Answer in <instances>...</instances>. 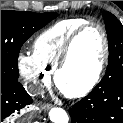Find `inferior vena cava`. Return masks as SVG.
I'll return each instance as SVG.
<instances>
[{
	"mask_svg": "<svg viewBox=\"0 0 123 123\" xmlns=\"http://www.w3.org/2000/svg\"><path fill=\"white\" fill-rule=\"evenodd\" d=\"M25 89L31 96H36L43 93V89L40 85H35L32 83L25 84Z\"/></svg>",
	"mask_w": 123,
	"mask_h": 123,
	"instance_id": "1",
	"label": "inferior vena cava"
}]
</instances>
